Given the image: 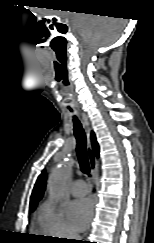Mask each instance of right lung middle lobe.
I'll use <instances>...</instances> for the list:
<instances>
[{
    "instance_id": "right-lung-middle-lobe-1",
    "label": "right lung middle lobe",
    "mask_w": 154,
    "mask_h": 243,
    "mask_svg": "<svg viewBox=\"0 0 154 243\" xmlns=\"http://www.w3.org/2000/svg\"><path fill=\"white\" fill-rule=\"evenodd\" d=\"M35 208H36V206H35V207H30V210H31V211H34Z\"/></svg>"
}]
</instances>
